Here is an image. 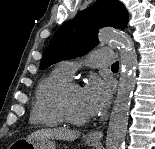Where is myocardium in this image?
Here are the masks:
<instances>
[{"mask_svg":"<svg viewBox=\"0 0 155 149\" xmlns=\"http://www.w3.org/2000/svg\"><path fill=\"white\" fill-rule=\"evenodd\" d=\"M75 87H80L78 83L69 80L67 82H65L64 84H62L57 93H56V106L57 109L60 113V115L62 116V118L64 119V121L73 124V125H83L86 124L89 121V118H78L76 116H74L67 104V94L69 92L70 89L75 88Z\"/></svg>","mask_w":155,"mask_h":149,"instance_id":"f54148a6","label":"myocardium"}]
</instances>
